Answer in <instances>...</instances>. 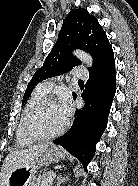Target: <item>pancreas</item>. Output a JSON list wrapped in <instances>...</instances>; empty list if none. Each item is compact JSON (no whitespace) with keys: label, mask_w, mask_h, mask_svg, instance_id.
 <instances>
[{"label":"pancreas","mask_w":138,"mask_h":186,"mask_svg":"<svg viewBox=\"0 0 138 186\" xmlns=\"http://www.w3.org/2000/svg\"><path fill=\"white\" fill-rule=\"evenodd\" d=\"M51 173L52 172H48L35 177L31 182V186H51V183H47L48 177Z\"/></svg>","instance_id":"pancreas-1"}]
</instances>
